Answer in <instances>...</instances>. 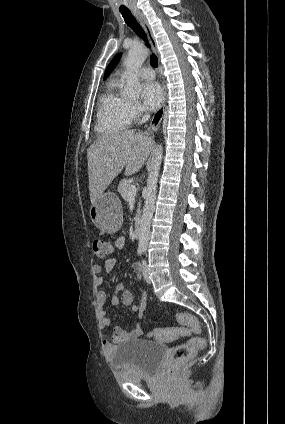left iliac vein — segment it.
<instances>
[{"mask_svg": "<svg viewBox=\"0 0 285 424\" xmlns=\"http://www.w3.org/2000/svg\"><path fill=\"white\" fill-rule=\"evenodd\" d=\"M142 272H143V276H144L145 281L150 284L151 279L148 275L147 261L145 259L142 261Z\"/></svg>", "mask_w": 285, "mask_h": 424, "instance_id": "1", "label": "left iliac vein"}]
</instances>
